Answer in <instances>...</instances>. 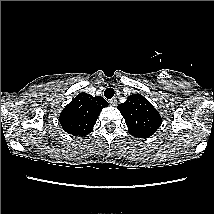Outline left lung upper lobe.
<instances>
[{"mask_svg": "<svg viewBox=\"0 0 214 214\" xmlns=\"http://www.w3.org/2000/svg\"><path fill=\"white\" fill-rule=\"evenodd\" d=\"M118 109L125 119L129 133L138 138L152 136L161 125V116L141 94L128 96Z\"/></svg>", "mask_w": 214, "mask_h": 214, "instance_id": "5c2ea615", "label": "left lung upper lobe"}]
</instances>
